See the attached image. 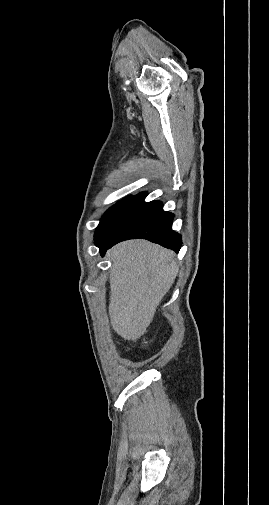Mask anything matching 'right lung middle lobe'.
Wrapping results in <instances>:
<instances>
[{"label":"right lung middle lobe","instance_id":"obj_1","mask_svg":"<svg viewBox=\"0 0 269 505\" xmlns=\"http://www.w3.org/2000/svg\"><path fill=\"white\" fill-rule=\"evenodd\" d=\"M133 197L134 196L132 195L127 196L126 198L122 199L121 201H119L118 203H116L114 206H112L107 210V212L103 215L98 227L96 228L94 236L96 243H98L101 240L110 224L120 213V211L132 200Z\"/></svg>","mask_w":269,"mask_h":505}]
</instances>
